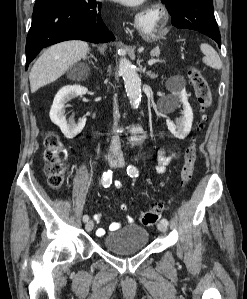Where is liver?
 Instances as JSON below:
<instances>
[{"label":"liver","mask_w":247,"mask_h":299,"mask_svg":"<svg viewBox=\"0 0 247 299\" xmlns=\"http://www.w3.org/2000/svg\"><path fill=\"white\" fill-rule=\"evenodd\" d=\"M88 51V43L80 40L64 41L49 47L30 71L31 92L35 93L59 79L74 63L85 59Z\"/></svg>","instance_id":"obj_1"}]
</instances>
